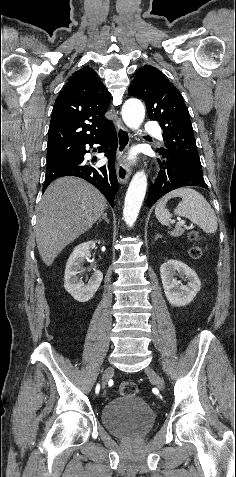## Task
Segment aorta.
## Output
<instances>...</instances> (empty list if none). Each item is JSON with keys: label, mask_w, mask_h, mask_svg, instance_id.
Returning <instances> with one entry per match:
<instances>
[{"label": "aorta", "mask_w": 236, "mask_h": 477, "mask_svg": "<svg viewBox=\"0 0 236 477\" xmlns=\"http://www.w3.org/2000/svg\"><path fill=\"white\" fill-rule=\"evenodd\" d=\"M122 118L131 130H138L144 121L145 107L143 103L130 98L122 107ZM147 189V176L144 171H138L132 178L125 196L123 217L129 227H132L138 217Z\"/></svg>", "instance_id": "obj_1"}]
</instances>
